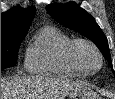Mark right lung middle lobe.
I'll return each mask as SVG.
<instances>
[{"label":"right lung middle lobe","mask_w":115,"mask_h":99,"mask_svg":"<svg viewBox=\"0 0 115 99\" xmlns=\"http://www.w3.org/2000/svg\"><path fill=\"white\" fill-rule=\"evenodd\" d=\"M25 36L26 34L1 36V69L16 64L18 48Z\"/></svg>","instance_id":"obj_1"}]
</instances>
